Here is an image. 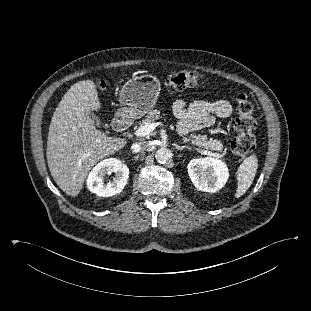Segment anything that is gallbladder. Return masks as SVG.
I'll return each instance as SVG.
<instances>
[{
  "label": "gallbladder",
  "mask_w": 311,
  "mask_h": 311,
  "mask_svg": "<svg viewBox=\"0 0 311 311\" xmlns=\"http://www.w3.org/2000/svg\"><path fill=\"white\" fill-rule=\"evenodd\" d=\"M89 117L93 120V122H94V124L96 126H98V127L101 126V122H100L99 118L95 114L89 113Z\"/></svg>",
  "instance_id": "gallbladder-1"
}]
</instances>
